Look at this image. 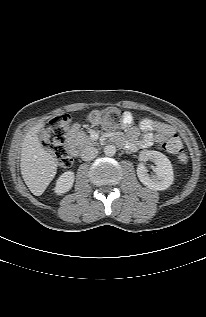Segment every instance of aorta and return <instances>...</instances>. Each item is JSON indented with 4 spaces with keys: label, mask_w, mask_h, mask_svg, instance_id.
Returning a JSON list of instances; mask_svg holds the SVG:
<instances>
[{
    "label": "aorta",
    "mask_w": 206,
    "mask_h": 317,
    "mask_svg": "<svg viewBox=\"0 0 206 317\" xmlns=\"http://www.w3.org/2000/svg\"><path fill=\"white\" fill-rule=\"evenodd\" d=\"M104 153L107 156H114L116 153V147L114 145H107L104 147Z\"/></svg>",
    "instance_id": "obj_1"
}]
</instances>
